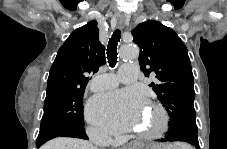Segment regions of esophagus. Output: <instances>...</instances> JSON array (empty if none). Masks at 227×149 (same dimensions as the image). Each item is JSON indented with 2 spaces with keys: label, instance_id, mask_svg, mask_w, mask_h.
I'll list each match as a JSON object with an SVG mask.
<instances>
[{
  "label": "esophagus",
  "instance_id": "esophagus-1",
  "mask_svg": "<svg viewBox=\"0 0 227 149\" xmlns=\"http://www.w3.org/2000/svg\"><path fill=\"white\" fill-rule=\"evenodd\" d=\"M125 19L123 17L118 18V25L119 27H122L124 24Z\"/></svg>",
  "mask_w": 227,
  "mask_h": 149
}]
</instances>
